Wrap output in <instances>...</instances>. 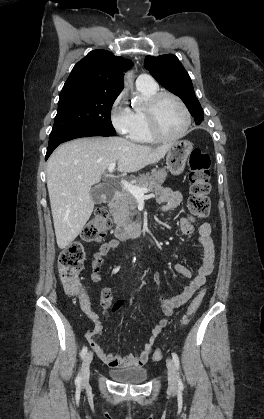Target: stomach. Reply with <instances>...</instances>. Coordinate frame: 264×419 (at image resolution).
<instances>
[{"label":"stomach","mask_w":264,"mask_h":419,"mask_svg":"<svg viewBox=\"0 0 264 419\" xmlns=\"http://www.w3.org/2000/svg\"><path fill=\"white\" fill-rule=\"evenodd\" d=\"M193 149V144L188 140H180L171 144L166 156L167 168L174 175L183 172L186 161Z\"/></svg>","instance_id":"stomach-1"}]
</instances>
